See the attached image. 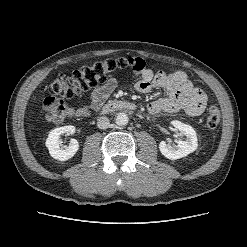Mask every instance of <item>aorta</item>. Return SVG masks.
I'll return each mask as SVG.
<instances>
[{
    "label": "aorta",
    "mask_w": 247,
    "mask_h": 247,
    "mask_svg": "<svg viewBox=\"0 0 247 247\" xmlns=\"http://www.w3.org/2000/svg\"><path fill=\"white\" fill-rule=\"evenodd\" d=\"M128 115L124 112H120L116 115L115 123L119 126H125L128 124Z\"/></svg>",
    "instance_id": "obj_1"
}]
</instances>
